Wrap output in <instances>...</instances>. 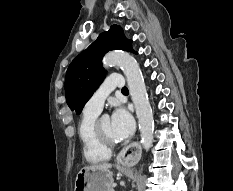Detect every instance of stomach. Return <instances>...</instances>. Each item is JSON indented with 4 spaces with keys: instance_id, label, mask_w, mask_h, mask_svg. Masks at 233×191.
<instances>
[{
    "instance_id": "obj_1",
    "label": "stomach",
    "mask_w": 233,
    "mask_h": 191,
    "mask_svg": "<svg viewBox=\"0 0 233 191\" xmlns=\"http://www.w3.org/2000/svg\"><path fill=\"white\" fill-rule=\"evenodd\" d=\"M110 170L81 169L75 179L74 191H109L113 183Z\"/></svg>"
}]
</instances>
